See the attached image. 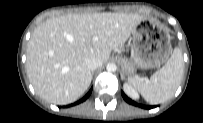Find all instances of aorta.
Here are the masks:
<instances>
[{
    "instance_id": "obj_1",
    "label": "aorta",
    "mask_w": 203,
    "mask_h": 123,
    "mask_svg": "<svg viewBox=\"0 0 203 123\" xmlns=\"http://www.w3.org/2000/svg\"><path fill=\"white\" fill-rule=\"evenodd\" d=\"M106 69L108 72H115L117 69V66L114 63H109L107 64Z\"/></svg>"
}]
</instances>
